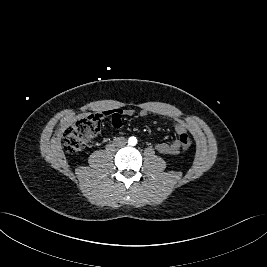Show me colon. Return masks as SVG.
Segmentation results:
<instances>
[{
	"label": "colon",
	"mask_w": 267,
	"mask_h": 267,
	"mask_svg": "<svg viewBox=\"0 0 267 267\" xmlns=\"http://www.w3.org/2000/svg\"><path fill=\"white\" fill-rule=\"evenodd\" d=\"M102 118V114L86 115L67 127L63 138L64 149L76 153L86 147L99 133ZM179 140L184 150L193 145V139L186 133L181 134Z\"/></svg>",
	"instance_id": "1"
}]
</instances>
